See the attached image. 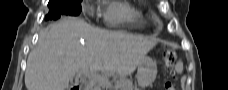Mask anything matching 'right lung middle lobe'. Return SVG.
<instances>
[{
  "instance_id": "obj_1",
  "label": "right lung middle lobe",
  "mask_w": 228,
  "mask_h": 90,
  "mask_svg": "<svg viewBox=\"0 0 228 90\" xmlns=\"http://www.w3.org/2000/svg\"><path fill=\"white\" fill-rule=\"evenodd\" d=\"M82 0H49V16L51 18L60 17L61 14L78 15L81 11Z\"/></svg>"
}]
</instances>
